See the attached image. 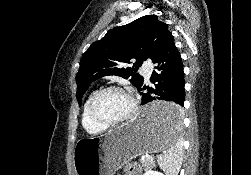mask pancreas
Here are the masks:
<instances>
[{"instance_id":"cf45deb5","label":"pancreas","mask_w":251,"mask_h":175,"mask_svg":"<svg viewBox=\"0 0 251 175\" xmlns=\"http://www.w3.org/2000/svg\"><path fill=\"white\" fill-rule=\"evenodd\" d=\"M139 161L145 169H151V167H154L155 165L153 157H145V159H139Z\"/></svg>"}]
</instances>
